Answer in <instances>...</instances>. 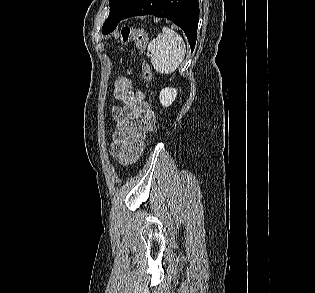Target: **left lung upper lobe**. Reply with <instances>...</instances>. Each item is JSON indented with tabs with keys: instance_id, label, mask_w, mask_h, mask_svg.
<instances>
[{
	"instance_id": "1",
	"label": "left lung upper lobe",
	"mask_w": 315,
	"mask_h": 293,
	"mask_svg": "<svg viewBox=\"0 0 315 293\" xmlns=\"http://www.w3.org/2000/svg\"><path fill=\"white\" fill-rule=\"evenodd\" d=\"M139 0H109L110 14L102 27L103 34L112 32Z\"/></svg>"
}]
</instances>
